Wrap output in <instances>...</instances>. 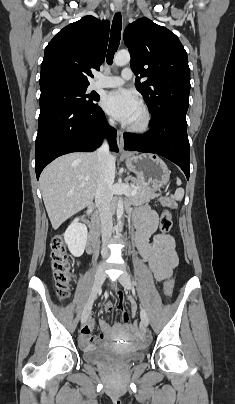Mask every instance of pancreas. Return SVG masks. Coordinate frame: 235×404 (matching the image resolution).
Returning <instances> with one entry per match:
<instances>
[{
    "instance_id": "obj_1",
    "label": "pancreas",
    "mask_w": 235,
    "mask_h": 404,
    "mask_svg": "<svg viewBox=\"0 0 235 404\" xmlns=\"http://www.w3.org/2000/svg\"><path fill=\"white\" fill-rule=\"evenodd\" d=\"M130 188L131 190L136 189L137 191V193L130 198V202L133 204L149 202L150 200L160 196V194L155 193L143 180L131 179Z\"/></svg>"
}]
</instances>
